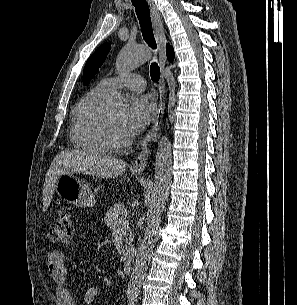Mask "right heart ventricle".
I'll return each instance as SVG.
<instances>
[{
  "label": "right heart ventricle",
  "instance_id": "right-heart-ventricle-1",
  "mask_svg": "<svg viewBox=\"0 0 297 305\" xmlns=\"http://www.w3.org/2000/svg\"><path fill=\"white\" fill-rule=\"evenodd\" d=\"M107 93L97 85L75 107L70 139L76 149L91 154L108 152L109 149L101 136V125L106 114L104 101Z\"/></svg>",
  "mask_w": 297,
  "mask_h": 305
}]
</instances>
